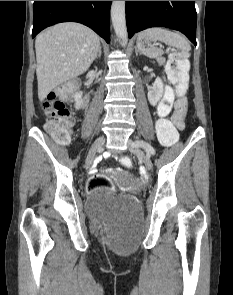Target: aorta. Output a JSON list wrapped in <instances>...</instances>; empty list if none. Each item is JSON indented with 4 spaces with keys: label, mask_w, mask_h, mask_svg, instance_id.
Listing matches in <instances>:
<instances>
[{
    "label": "aorta",
    "mask_w": 233,
    "mask_h": 295,
    "mask_svg": "<svg viewBox=\"0 0 233 295\" xmlns=\"http://www.w3.org/2000/svg\"><path fill=\"white\" fill-rule=\"evenodd\" d=\"M111 20L114 31L121 41V45L126 46L128 33L125 19V1H112Z\"/></svg>",
    "instance_id": "aorta-1"
}]
</instances>
